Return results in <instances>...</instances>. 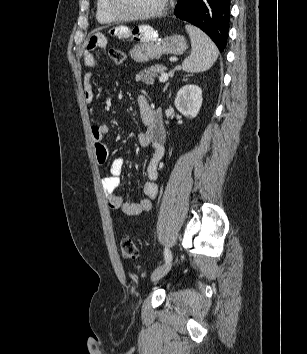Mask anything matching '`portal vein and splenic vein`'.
I'll list each match as a JSON object with an SVG mask.
<instances>
[{
  "mask_svg": "<svg viewBox=\"0 0 307 354\" xmlns=\"http://www.w3.org/2000/svg\"><path fill=\"white\" fill-rule=\"evenodd\" d=\"M168 78H169V75H168L167 73H162V74L160 75V77H159V81H160V82H165V81L168 80Z\"/></svg>",
  "mask_w": 307,
  "mask_h": 354,
  "instance_id": "obj_1",
  "label": "portal vein and splenic vein"
}]
</instances>
